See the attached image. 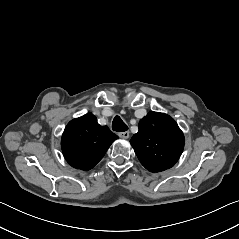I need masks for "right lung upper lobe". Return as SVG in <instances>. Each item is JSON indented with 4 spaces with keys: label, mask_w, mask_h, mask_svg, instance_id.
Returning a JSON list of instances; mask_svg holds the SVG:
<instances>
[{
    "label": "right lung upper lobe",
    "mask_w": 239,
    "mask_h": 239,
    "mask_svg": "<svg viewBox=\"0 0 239 239\" xmlns=\"http://www.w3.org/2000/svg\"><path fill=\"white\" fill-rule=\"evenodd\" d=\"M117 138L107 126L99 125L92 113H87L66 126L61 140L62 152L72 167L88 171Z\"/></svg>",
    "instance_id": "1"
}]
</instances>
